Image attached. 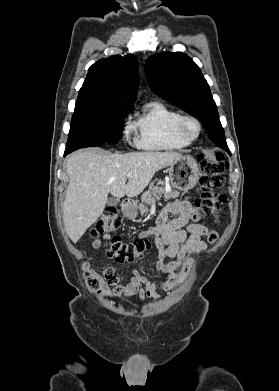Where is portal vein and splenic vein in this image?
Segmentation results:
<instances>
[{
	"label": "portal vein and splenic vein",
	"instance_id": "18ae733b",
	"mask_svg": "<svg viewBox=\"0 0 279 391\" xmlns=\"http://www.w3.org/2000/svg\"><path fill=\"white\" fill-rule=\"evenodd\" d=\"M131 176H132L131 173H128V174H127V178H130Z\"/></svg>",
	"mask_w": 279,
	"mask_h": 391
}]
</instances>
